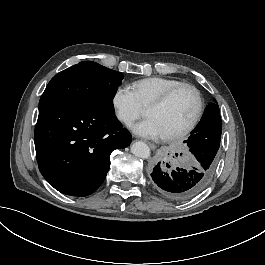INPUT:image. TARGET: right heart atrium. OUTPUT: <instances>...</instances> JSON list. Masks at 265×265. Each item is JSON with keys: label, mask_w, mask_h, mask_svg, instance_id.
I'll return each mask as SVG.
<instances>
[{"label": "right heart atrium", "mask_w": 265, "mask_h": 265, "mask_svg": "<svg viewBox=\"0 0 265 265\" xmlns=\"http://www.w3.org/2000/svg\"><path fill=\"white\" fill-rule=\"evenodd\" d=\"M136 98L133 92L129 91L126 84H121L115 88L114 94L111 96V110L113 116L120 123L131 125L136 119L143 116V107L135 104Z\"/></svg>", "instance_id": "1"}]
</instances>
